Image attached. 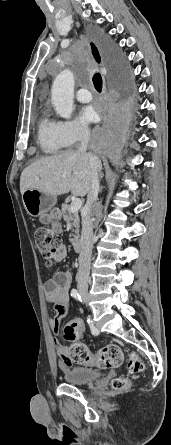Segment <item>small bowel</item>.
<instances>
[{
  "mask_svg": "<svg viewBox=\"0 0 171 445\" xmlns=\"http://www.w3.org/2000/svg\"><path fill=\"white\" fill-rule=\"evenodd\" d=\"M54 232L61 231V225L58 222L50 224ZM67 257V249L62 245L57 253L56 261L61 262ZM72 281V274L70 271H58L52 278L48 279L44 284V294L47 302L54 304L55 316L49 321V327L54 334H58L62 319L66 316L69 310V288ZM77 323V331L83 332L84 324L80 319L75 320ZM54 344L60 356L62 357L61 366L63 368L72 367V362L69 360V348L59 343L54 338ZM87 364V363H82Z\"/></svg>",
  "mask_w": 171,
  "mask_h": 445,
  "instance_id": "1",
  "label": "small bowel"
}]
</instances>
